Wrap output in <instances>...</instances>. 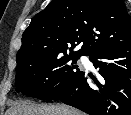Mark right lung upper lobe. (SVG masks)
<instances>
[{"label": "right lung upper lobe", "instance_id": "right-lung-upper-lobe-1", "mask_svg": "<svg viewBox=\"0 0 131 115\" xmlns=\"http://www.w3.org/2000/svg\"><path fill=\"white\" fill-rule=\"evenodd\" d=\"M128 45L131 17L122 0H52L24 31L16 70L56 53L92 56Z\"/></svg>", "mask_w": 131, "mask_h": 115}]
</instances>
